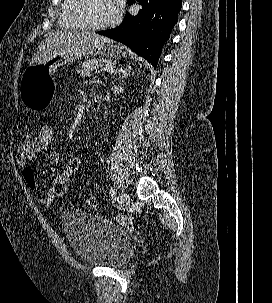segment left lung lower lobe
<instances>
[{"instance_id":"1","label":"left lung lower lobe","mask_w":272,"mask_h":303,"mask_svg":"<svg viewBox=\"0 0 272 303\" xmlns=\"http://www.w3.org/2000/svg\"><path fill=\"white\" fill-rule=\"evenodd\" d=\"M143 6L136 16L126 14L121 25L104 35L128 46L156 67L161 49L178 21L181 0H136ZM132 0L129 4H133Z\"/></svg>"}]
</instances>
